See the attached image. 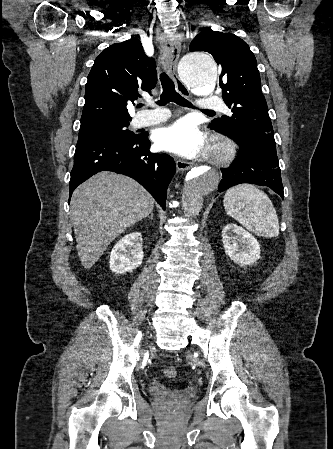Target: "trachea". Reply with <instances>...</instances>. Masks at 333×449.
Here are the masks:
<instances>
[{
	"label": "trachea",
	"mask_w": 333,
	"mask_h": 449,
	"mask_svg": "<svg viewBox=\"0 0 333 449\" xmlns=\"http://www.w3.org/2000/svg\"><path fill=\"white\" fill-rule=\"evenodd\" d=\"M160 81L163 92L160 96V100L157 102L158 105L164 106L172 101L183 107L189 108L193 107L191 102H189L187 99H185L179 93L176 92L174 82L165 72L161 73ZM140 106H142V104H140ZM203 112H213V111L203 110Z\"/></svg>",
	"instance_id": "3493384b"
}]
</instances>
